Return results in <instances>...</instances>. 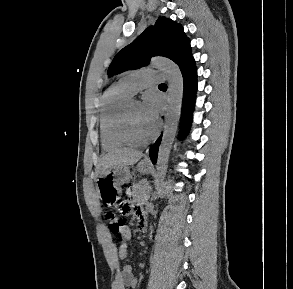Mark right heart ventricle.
<instances>
[{"instance_id": "1", "label": "right heart ventricle", "mask_w": 293, "mask_h": 289, "mask_svg": "<svg viewBox=\"0 0 293 289\" xmlns=\"http://www.w3.org/2000/svg\"><path fill=\"white\" fill-rule=\"evenodd\" d=\"M132 94L119 82L103 95L99 116L101 144L104 150L112 151L125 146L120 135L123 109Z\"/></svg>"}]
</instances>
